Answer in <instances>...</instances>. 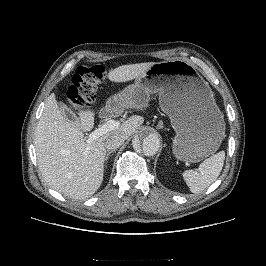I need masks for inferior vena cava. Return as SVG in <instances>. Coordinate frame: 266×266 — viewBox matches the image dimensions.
<instances>
[{
  "label": "inferior vena cava",
  "mask_w": 266,
  "mask_h": 266,
  "mask_svg": "<svg viewBox=\"0 0 266 266\" xmlns=\"http://www.w3.org/2000/svg\"><path fill=\"white\" fill-rule=\"evenodd\" d=\"M125 141V137L121 134H112L107 137L104 141V145L106 149L113 150L119 148L123 142Z\"/></svg>",
  "instance_id": "obj_1"
}]
</instances>
